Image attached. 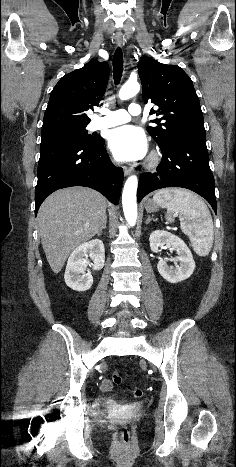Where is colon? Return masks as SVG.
<instances>
[{
  "mask_svg": "<svg viewBox=\"0 0 236 467\" xmlns=\"http://www.w3.org/2000/svg\"><path fill=\"white\" fill-rule=\"evenodd\" d=\"M113 381L115 384L117 385H120L123 383V379L122 377L120 376V374L118 372H114L113 373ZM127 389L131 392V394L135 397V398H140L142 397L143 395V391L141 388L139 387H132V386H127ZM120 439L123 443L127 444L131 441V433L129 431V429L126 427V426H123L121 429H120Z\"/></svg>",
  "mask_w": 236,
  "mask_h": 467,
  "instance_id": "1",
  "label": "colon"
}]
</instances>
